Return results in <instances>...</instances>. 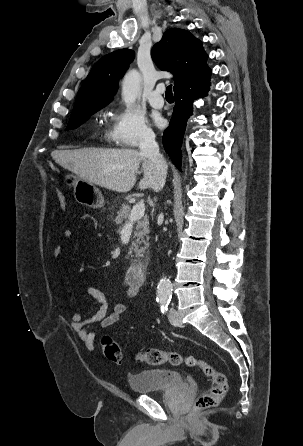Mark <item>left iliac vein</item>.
<instances>
[{
  "label": "left iliac vein",
  "instance_id": "4c4485c4",
  "mask_svg": "<svg viewBox=\"0 0 303 446\" xmlns=\"http://www.w3.org/2000/svg\"><path fill=\"white\" fill-rule=\"evenodd\" d=\"M168 318L171 324H173L174 326H180L182 324V319L179 313L174 308H171L169 310Z\"/></svg>",
  "mask_w": 303,
  "mask_h": 446
}]
</instances>
